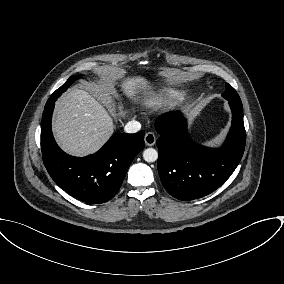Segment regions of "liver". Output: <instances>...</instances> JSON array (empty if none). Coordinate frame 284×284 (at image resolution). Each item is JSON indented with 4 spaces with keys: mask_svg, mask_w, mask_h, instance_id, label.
Wrapping results in <instances>:
<instances>
[{
    "mask_svg": "<svg viewBox=\"0 0 284 284\" xmlns=\"http://www.w3.org/2000/svg\"><path fill=\"white\" fill-rule=\"evenodd\" d=\"M107 86L109 90L113 88L111 80H108ZM118 86L131 99L149 88L148 81L141 76L125 78ZM124 114L121 112V115ZM114 128L112 117L104 105L84 90H71L56 101L53 131L66 153L86 156L96 152L109 139Z\"/></svg>",
    "mask_w": 284,
    "mask_h": 284,
    "instance_id": "6515ba94",
    "label": "liver"
}]
</instances>
